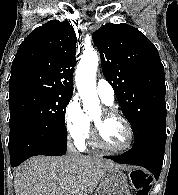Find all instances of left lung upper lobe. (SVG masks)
<instances>
[{
	"label": "left lung upper lobe",
	"instance_id": "1",
	"mask_svg": "<svg viewBox=\"0 0 178 195\" xmlns=\"http://www.w3.org/2000/svg\"><path fill=\"white\" fill-rule=\"evenodd\" d=\"M102 71L134 134V146L166 137L164 67L156 47L138 29L108 23L92 34Z\"/></svg>",
	"mask_w": 178,
	"mask_h": 195
}]
</instances>
